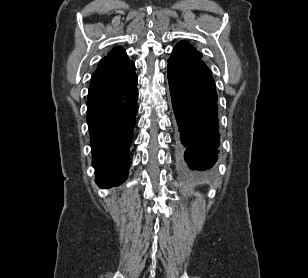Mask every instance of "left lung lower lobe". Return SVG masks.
I'll use <instances>...</instances> for the list:
<instances>
[{"label": "left lung lower lobe", "instance_id": "1", "mask_svg": "<svg viewBox=\"0 0 308 278\" xmlns=\"http://www.w3.org/2000/svg\"><path fill=\"white\" fill-rule=\"evenodd\" d=\"M168 81L177 121V142L190 169L208 170L219 143L216 85L210 69L198 60L168 64Z\"/></svg>", "mask_w": 308, "mask_h": 278}]
</instances>
